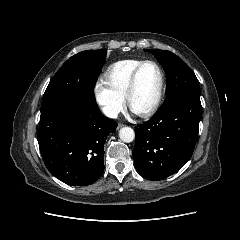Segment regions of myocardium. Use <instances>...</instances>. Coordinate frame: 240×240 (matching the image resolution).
Here are the masks:
<instances>
[{
  "label": "myocardium",
  "mask_w": 240,
  "mask_h": 240,
  "mask_svg": "<svg viewBox=\"0 0 240 240\" xmlns=\"http://www.w3.org/2000/svg\"><path fill=\"white\" fill-rule=\"evenodd\" d=\"M154 65L159 73V78H160V82H159V88L156 94V97L153 101V103L151 104V106L142 111V112H135L137 115L141 116V117H148L150 115H152L159 107L162 97H163V92H164V87H165V76H164V72L163 69L161 68V66L153 60H145L142 61L132 72L129 82H128V86H127V91H126V95H125V99L127 102L128 107L132 110L131 108V98L132 95L135 91L136 88V83H137V78L139 75V72L141 71V69L145 66V65Z\"/></svg>",
  "instance_id": "f54148a6"
}]
</instances>
